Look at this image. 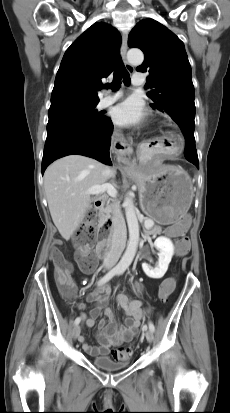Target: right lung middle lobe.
Returning a JSON list of instances; mask_svg holds the SVG:
<instances>
[{"instance_id":"1","label":"right lung middle lobe","mask_w":230,"mask_h":413,"mask_svg":"<svg viewBox=\"0 0 230 413\" xmlns=\"http://www.w3.org/2000/svg\"><path fill=\"white\" fill-rule=\"evenodd\" d=\"M97 104H66L50 108L47 132L61 126L99 125L104 113L96 110Z\"/></svg>"}]
</instances>
